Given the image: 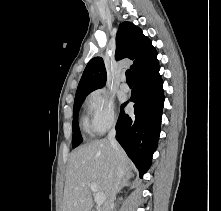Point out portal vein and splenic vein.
<instances>
[{
  "instance_id": "portal-vein-and-splenic-vein-1",
  "label": "portal vein and splenic vein",
  "mask_w": 221,
  "mask_h": 211,
  "mask_svg": "<svg viewBox=\"0 0 221 211\" xmlns=\"http://www.w3.org/2000/svg\"><path fill=\"white\" fill-rule=\"evenodd\" d=\"M90 189L95 193V202L97 204H103L105 201V196L103 193L98 192L97 185L95 183H92L90 185Z\"/></svg>"
}]
</instances>
